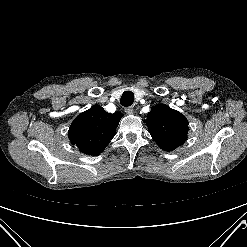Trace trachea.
Wrapping results in <instances>:
<instances>
[{
    "mask_svg": "<svg viewBox=\"0 0 247 247\" xmlns=\"http://www.w3.org/2000/svg\"><path fill=\"white\" fill-rule=\"evenodd\" d=\"M134 102V93L131 91H125L121 96V105L128 107Z\"/></svg>",
    "mask_w": 247,
    "mask_h": 247,
    "instance_id": "3493384b",
    "label": "trachea"
}]
</instances>
